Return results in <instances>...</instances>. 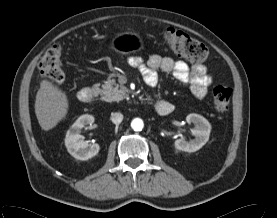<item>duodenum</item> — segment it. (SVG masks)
<instances>
[{
    "mask_svg": "<svg viewBox=\"0 0 277 218\" xmlns=\"http://www.w3.org/2000/svg\"><path fill=\"white\" fill-rule=\"evenodd\" d=\"M96 90L92 88H83L78 93V98L82 103L90 104L94 101L96 96ZM159 109L163 115H166L171 110V105L166 101H161Z\"/></svg>",
    "mask_w": 277,
    "mask_h": 218,
    "instance_id": "obj_1",
    "label": "duodenum"
}]
</instances>
